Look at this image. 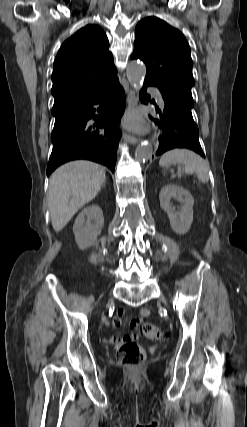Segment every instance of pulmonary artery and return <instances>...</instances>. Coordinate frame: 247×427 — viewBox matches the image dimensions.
<instances>
[{
	"instance_id": "pulmonary-artery-1",
	"label": "pulmonary artery",
	"mask_w": 247,
	"mask_h": 427,
	"mask_svg": "<svg viewBox=\"0 0 247 427\" xmlns=\"http://www.w3.org/2000/svg\"><path fill=\"white\" fill-rule=\"evenodd\" d=\"M150 90L154 94V96L156 97V99L158 100L160 106L163 107L164 106V100H163L162 95L160 94V92L157 89H155V88H152Z\"/></svg>"
}]
</instances>
